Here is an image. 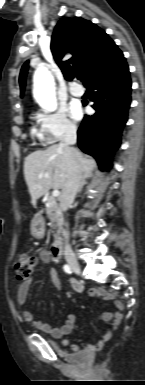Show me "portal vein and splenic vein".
<instances>
[{"mask_svg":"<svg viewBox=\"0 0 145 385\" xmlns=\"http://www.w3.org/2000/svg\"><path fill=\"white\" fill-rule=\"evenodd\" d=\"M40 178L42 177V175L39 176ZM60 195V191L58 189H55L53 192H52V197H58Z\"/></svg>","mask_w":145,"mask_h":385,"instance_id":"18ae733b","label":"portal vein and splenic vein"}]
</instances>
